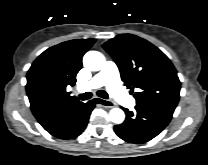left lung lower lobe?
Segmentation results:
<instances>
[{"mask_svg": "<svg viewBox=\"0 0 208 165\" xmlns=\"http://www.w3.org/2000/svg\"><path fill=\"white\" fill-rule=\"evenodd\" d=\"M125 121L114 127L121 139L129 143H145L157 136L170 122L174 109L164 107H139L134 111L123 109Z\"/></svg>", "mask_w": 208, "mask_h": 165, "instance_id": "obj_1", "label": "left lung lower lobe"}]
</instances>
